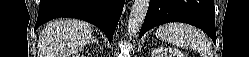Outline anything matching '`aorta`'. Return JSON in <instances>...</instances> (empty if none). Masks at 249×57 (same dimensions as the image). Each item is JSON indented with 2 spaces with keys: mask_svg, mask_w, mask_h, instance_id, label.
I'll list each match as a JSON object with an SVG mask.
<instances>
[{
  "mask_svg": "<svg viewBox=\"0 0 249 57\" xmlns=\"http://www.w3.org/2000/svg\"><path fill=\"white\" fill-rule=\"evenodd\" d=\"M149 3V0L134 1L127 25V35L130 39L136 35L141 28L149 8Z\"/></svg>",
  "mask_w": 249,
  "mask_h": 57,
  "instance_id": "1",
  "label": "aorta"
}]
</instances>
